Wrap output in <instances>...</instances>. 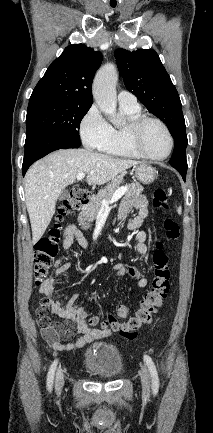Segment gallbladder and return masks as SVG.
Wrapping results in <instances>:
<instances>
[{
  "instance_id": "gallbladder-1",
  "label": "gallbladder",
  "mask_w": 213,
  "mask_h": 433,
  "mask_svg": "<svg viewBox=\"0 0 213 433\" xmlns=\"http://www.w3.org/2000/svg\"><path fill=\"white\" fill-rule=\"evenodd\" d=\"M68 197V191L64 190L60 196H59V200H64Z\"/></svg>"
}]
</instances>
